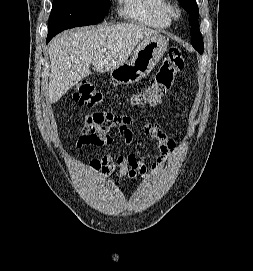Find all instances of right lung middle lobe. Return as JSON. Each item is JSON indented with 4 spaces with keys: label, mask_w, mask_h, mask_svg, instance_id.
I'll return each mask as SVG.
<instances>
[{
    "label": "right lung middle lobe",
    "mask_w": 253,
    "mask_h": 271,
    "mask_svg": "<svg viewBox=\"0 0 253 271\" xmlns=\"http://www.w3.org/2000/svg\"><path fill=\"white\" fill-rule=\"evenodd\" d=\"M109 5V0H53L48 35L55 36L68 28L97 24L103 21Z\"/></svg>",
    "instance_id": "dd1d6c3e"
}]
</instances>
